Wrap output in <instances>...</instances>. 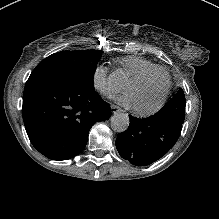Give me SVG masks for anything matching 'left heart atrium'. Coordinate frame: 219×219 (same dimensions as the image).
<instances>
[{"instance_id":"39dd6f15","label":"left heart atrium","mask_w":219,"mask_h":219,"mask_svg":"<svg viewBox=\"0 0 219 219\" xmlns=\"http://www.w3.org/2000/svg\"><path fill=\"white\" fill-rule=\"evenodd\" d=\"M119 100L125 104L129 108H133L136 110H139L138 103L135 101V99L130 94H124L122 95Z\"/></svg>"}]
</instances>
